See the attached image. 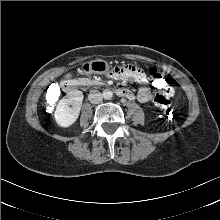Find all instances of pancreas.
<instances>
[{"mask_svg": "<svg viewBox=\"0 0 220 220\" xmlns=\"http://www.w3.org/2000/svg\"><path fill=\"white\" fill-rule=\"evenodd\" d=\"M86 82H88L89 84H102L101 82L97 81V80H89V79H85Z\"/></svg>", "mask_w": 220, "mask_h": 220, "instance_id": "pancreas-1", "label": "pancreas"}]
</instances>
